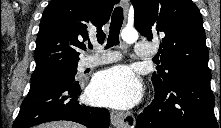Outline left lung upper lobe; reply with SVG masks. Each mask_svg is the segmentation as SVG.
<instances>
[{
    "label": "left lung upper lobe",
    "instance_id": "left-lung-upper-lobe-1",
    "mask_svg": "<svg viewBox=\"0 0 221 128\" xmlns=\"http://www.w3.org/2000/svg\"><path fill=\"white\" fill-rule=\"evenodd\" d=\"M134 26L149 41H160L161 66L152 75L164 90L185 78L210 80L203 20L191 0H131Z\"/></svg>",
    "mask_w": 221,
    "mask_h": 128
}]
</instances>
